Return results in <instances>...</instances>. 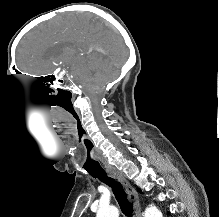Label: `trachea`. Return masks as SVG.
<instances>
[{
    "mask_svg": "<svg viewBox=\"0 0 219 217\" xmlns=\"http://www.w3.org/2000/svg\"><path fill=\"white\" fill-rule=\"evenodd\" d=\"M90 175L94 178H98L101 182L111 187L123 214L127 217H132L133 208L132 205L128 202L127 195L122 185L113 177L108 176L107 173L103 170L96 173L90 172Z\"/></svg>",
    "mask_w": 219,
    "mask_h": 217,
    "instance_id": "3493384b",
    "label": "trachea"
}]
</instances>
